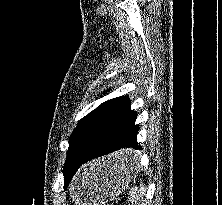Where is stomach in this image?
Masks as SVG:
<instances>
[{
  "mask_svg": "<svg viewBox=\"0 0 222 205\" xmlns=\"http://www.w3.org/2000/svg\"><path fill=\"white\" fill-rule=\"evenodd\" d=\"M115 154L87 164L78 173L70 194L75 205H102L118 197L137 175L139 165L114 163Z\"/></svg>",
  "mask_w": 222,
  "mask_h": 205,
  "instance_id": "1",
  "label": "stomach"
}]
</instances>
